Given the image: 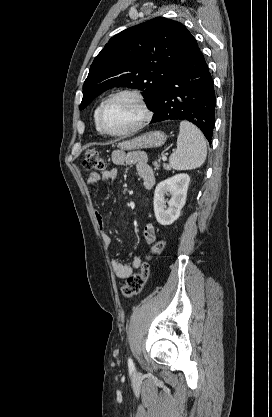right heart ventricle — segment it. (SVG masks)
<instances>
[{
    "label": "right heart ventricle",
    "mask_w": 272,
    "mask_h": 417,
    "mask_svg": "<svg viewBox=\"0 0 272 417\" xmlns=\"http://www.w3.org/2000/svg\"><path fill=\"white\" fill-rule=\"evenodd\" d=\"M102 104V103H101ZM101 104L96 108V110H95V112H94V121H95V125H96V128L98 129V126H97V113H98V110H99V107L101 106ZM99 130V129H98Z\"/></svg>",
    "instance_id": "1"
}]
</instances>
